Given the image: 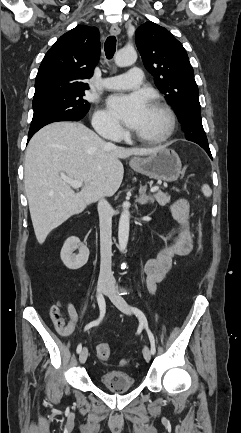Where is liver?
<instances>
[{"label": "liver", "instance_id": "liver-1", "mask_svg": "<svg viewBox=\"0 0 241 433\" xmlns=\"http://www.w3.org/2000/svg\"><path fill=\"white\" fill-rule=\"evenodd\" d=\"M163 146L123 148L106 143L82 123L55 122L30 140L24 164V186L39 244L71 216L102 197L113 196L124 175L120 159L149 155ZM62 176L84 183L75 193Z\"/></svg>", "mask_w": 241, "mask_h": 433}]
</instances>
